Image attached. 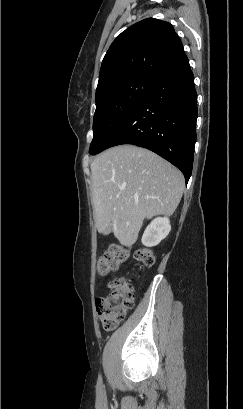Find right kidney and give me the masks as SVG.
Here are the masks:
<instances>
[{"instance_id":"right-kidney-1","label":"right kidney","mask_w":243,"mask_h":409,"mask_svg":"<svg viewBox=\"0 0 243 409\" xmlns=\"http://www.w3.org/2000/svg\"><path fill=\"white\" fill-rule=\"evenodd\" d=\"M170 230L171 225L167 217L155 218L145 229L142 244L147 247L156 246L167 237Z\"/></svg>"}]
</instances>
